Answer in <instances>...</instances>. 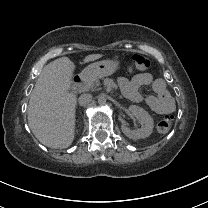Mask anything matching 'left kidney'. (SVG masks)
I'll list each match as a JSON object with an SVG mask.
<instances>
[{
  "label": "left kidney",
  "mask_w": 208,
  "mask_h": 208,
  "mask_svg": "<svg viewBox=\"0 0 208 208\" xmlns=\"http://www.w3.org/2000/svg\"><path fill=\"white\" fill-rule=\"evenodd\" d=\"M128 111L141 120L142 126L139 129L131 130L126 125H122L123 134L134 140L149 137L154 128V121L150 114L134 105L129 106Z\"/></svg>",
  "instance_id": "1"
}]
</instances>
